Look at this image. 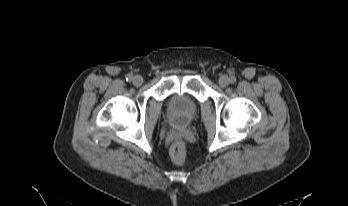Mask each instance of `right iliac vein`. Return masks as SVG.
Masks as SVG:
<instances>
[{
    "label": "right iliac vein",
    "mask_w": 348,
    "mask_h": 206,
    "mask_svg": "<svg viewBox=\"0 0 348 206\" xmlns=\"http://www.w3.org/2000/svg\"><path fill=\"white\" fill-rule=\"evenodd\" d=\"M142 83H143V78L140 75H136V76L133 77V84L135 86H137V87L141 86Z\"/></svg>",
    "instance_id": "right-iliac-vein-1"
}]
</instances>
